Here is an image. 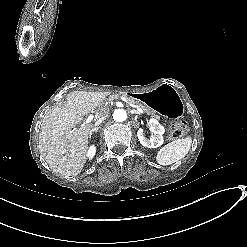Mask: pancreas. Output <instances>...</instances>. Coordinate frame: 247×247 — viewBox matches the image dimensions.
<instances>
[{
  "instance_id": "obj_1",
  "label": "pancreas",
  "mask_w": 247,
  "mask_h": 247,
  "mask_svg": "<svg viewBox=\"0 0 247 247\" xmlns=\"http://www.w3.org/2000/svg\"><path fill=\"white\" fill-rule=\"evenodd\" d=\"M121 97L125 98L126 102L129 105H132L134 108H137L139 106V108L145 110V112L147 114L151 113V115H154L156 117V119H160L159 114L155 113V112H152V109L147 104L138 102V100H135L132 97L126 96L123 93L116 94V95H109V98H121ZM160 123H162V125H165V122H163V120H160ZM165 128H166V126H165Z\"/></svg>"
}]
</instances>
